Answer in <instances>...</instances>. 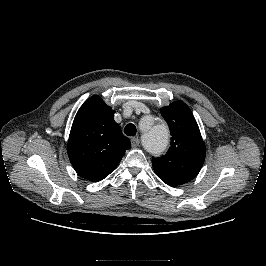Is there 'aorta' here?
Listing matches in <instances>:
<instances>
[{
  "label": "aorta",
  "instance_id": "762f6f07",
  "mask_svg": "<svg viewBox=\"0 0 266 266\" xmlns=\"http://www.w3.org/2000/svg\"><path fill=\"white\" fill-rule=\"evenodd\" d=\"M147 119L150 125L143 131L142 144L148 152L160 154L169 143L168 129L164 124L158 123L153 117H148Z\"/></svg>",
  "mask_w": 266,
  "mask_h": 266
}]
</instances>
